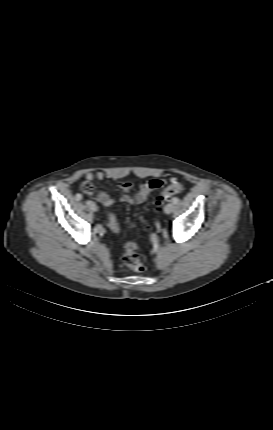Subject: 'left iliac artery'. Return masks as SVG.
Wrapping results in <instances>:
<instances>
[{"instance_id":"1","label":"left iliac artery","mask_w":273,"mask_h":430,"mask_svg":"<svg viewBox=\"0 0 273 430\" xmlns=\"http://www.w3.org/2000/svg\"><path fill=\"white\" fill-rule=\"evenodd\" d=\"M178 202H179V199H178V198H173V199H172V203H173V204H178Z\"/></svg>"}]
</instances>
